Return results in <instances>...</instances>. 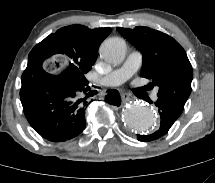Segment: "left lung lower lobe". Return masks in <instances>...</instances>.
<instances>
[{
    "mask_svg": "<svg viewBox=\"0 0 215 183\" xmlns=\"http://www.w3.org/2000/svg\"><path fill=\"white\" fill-rule=\"evenodd\" d=\"M158 107V111L161 117L160 128L158 131L151 135H138L137 138L140 141H151L158 139L168 132L173 123L181 115V113L168 101L159 99L154 103Z\"/></svg>",
    "mask_w": 215,
    "mask_h": 183,
    "instance_id": "obj_1",
    "label": "left lung lower lobe"
}]
</instances>
